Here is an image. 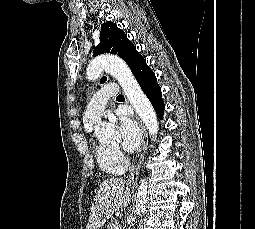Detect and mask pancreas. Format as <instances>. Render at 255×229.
Listing matches in <instances>:
<instances>
[{
  "instance_id": "1",
  "label": "pancreas",
  "mask_w": 255,
  "mask_h": 229,
  "mask_svg": "<svg viewBox=\"0 0 255 229\" xmlns=\"http://www.w3.org/2000/svg\"><path fill=\"white\" fill-rule=\"evenodd\" d=\"M118 225V222H111L110 224H108L107 229H115V226Z\"/></svg>"
}]
</instances>
